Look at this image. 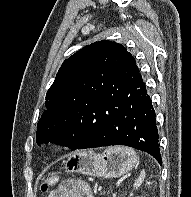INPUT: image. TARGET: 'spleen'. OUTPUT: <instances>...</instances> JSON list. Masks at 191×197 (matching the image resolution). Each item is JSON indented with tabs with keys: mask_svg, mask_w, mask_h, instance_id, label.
<instances>
[{
	"mask_svg": "<svg viewBox=\"0 0 191 197\" xmlns=\"http://www.w3.org/2000/svg\"><path fill=\"white\" fill-rule=\"evenodd\" d=\"M113 150L120 154L127 155L132 162H136L137 156L133 149L128 148V147H114ZM144 178H145V171L143 170L140 173V176L138 177V179L135 181L134 187H139L144 181Z\"/></svg>",
	"mask_w": 191,
	"mask_h": 197,
	"instance_id": "3e777b00",
	"label": "spleen"
}]
</instances>
